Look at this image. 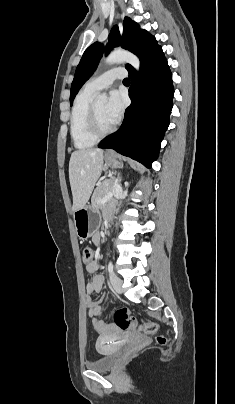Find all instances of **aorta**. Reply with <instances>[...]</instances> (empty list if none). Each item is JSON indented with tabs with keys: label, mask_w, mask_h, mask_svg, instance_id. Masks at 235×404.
Returning a JSON list of instances; mask_svg holds the SVG:
<instances>
[{
	"label": "aorta",
	"mask_w": 235,
	"mask_h": 404,
	"mask_svg": "<svg viewBox=\"0 0 235 404\" xmlns=\"http://www.w3.org/2000/svg\"><path fill=\"white\" fill-rule=\"evenodd\" d=\"M107 64H117V63H129L136 70L140 68V61L136 55L131 52L123 51V50H115L108 55L105 59ZM107 101V96L105 94H100L96 97L97 104H104Z\"/></svg>",
	"instance_id": "obj_1"
}]
</instances>
